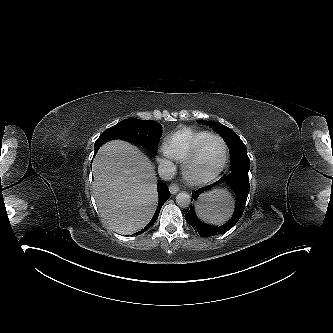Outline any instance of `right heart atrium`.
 I'll return each mask as SVG.
<instances>
[{"label": "right heart atrium", "mask_w": 333, "mask_h": 333, "mask_svg": "<svg viewBox=\"0 0 333 333\" xmlns=\"http://www.w3.org/2000/svg\"><path fill=\"white\" fill-rule=\"evenodd\" d=\"M162 152L164 156H169L165 148L162 150Z\"/></svg>", "instance_id": "d8ad5b80"}]
</instances>
